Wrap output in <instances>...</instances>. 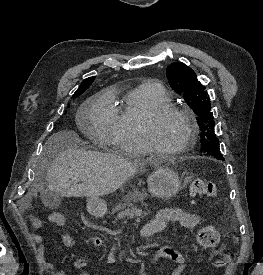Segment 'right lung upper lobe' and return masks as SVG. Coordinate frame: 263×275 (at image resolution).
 <instances>
[{"mask_svg":"<svg viewBox=\"0 0 263 275\" xmlns=\"http://www.w3.org/2000/svg\"><path fill=\"white\" fill-rule=\"evenodd\" d=\"M94 78H95V77H89V78L83 80L82 83H81V85H80V87H79L78 90L74 93V95L77 94V93H79L81 90L85 89L86 87L88 88V87L91 85V83L94 81ZM74 95H73V96H74Z\"/></svg>","mask_w":263,"mask_h":275,"instance_id":"obj_1","label":"right lung upper lobe"}]
</instances>
